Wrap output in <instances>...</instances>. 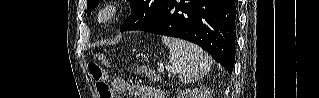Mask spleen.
Wrapping results in <instances>:
<instances>
[{"label":"spleen","mask_w":319,"mask_h":98,"mask_svg":"<svg viewBox=\"0 0 319 98\" xmlns=\"http://www.w3.org/2000/svg\"><path fill=\"white\" fill-rule=\"evenodd\" d=\"M170 50L171 70L180 82L189 84L200 80L211 68V57L199 46L184 40L162 37Z\"/></svg>","instance_id":"spleen-1"}]
</instances>
